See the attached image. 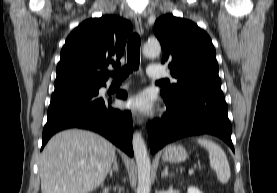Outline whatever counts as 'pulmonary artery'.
Returning <instances> with one entry per match:
<instances>
[{
    "label": "pulmonary artery",
    "mask_w": 277,
    "mask_h": 193,
    "mask_svg": "<svg viewBox=\"0 0 277 193\" xmlns=\"http://www.w3.org/2000/svg\"><path fill=\"white\" fill-rule=\"evenodd\" d=\"M147 73L148 76L153 79L169 77L168 72L155 65H150L147 69Z\"/></svg>",
    "instance_id": "pulmonary-artery-1"
}]
</instances>
